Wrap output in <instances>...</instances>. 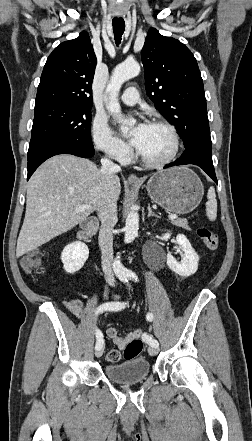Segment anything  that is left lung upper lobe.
Listing matches in <instances>:
<instances>
[{
    "label": "left lung upper lobe",
    "instance_id": "left-lung-upper-lobe-1",
    "mask_svg": "<svg viewBox=\"0 0 252 441\" xmlns=\"http://www.w3.org/2000/svg\"><path fill=\"white\" fill-rule=\"evenodd\" d=\"M147 95L174 124L185 149L211 145L203 80L191 51L151 28L141 51Z\"/></svg>",
    "mask_w": 252,
    "mask_h": 441
}]
</instances>
